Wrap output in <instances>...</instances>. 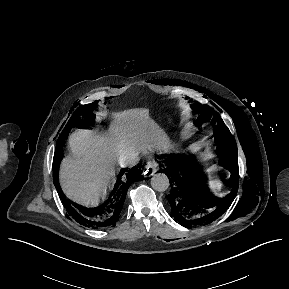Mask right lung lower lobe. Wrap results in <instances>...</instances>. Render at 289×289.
Instances as JSON below:
<instances>
[{"label": "right lung lower lobe", "instance_id": "obj_1", "mask_svg": "<svg viewBox=\"0 0 289 289\" xmlns=\"http://www.w3.org/2000/svg\"><path fill=\"white\" fill-rule=\"evenodd\" d=\"M65 133L60 135L57 144L56 152L53 161V179L59 194L68 214L79 224L100 229L105 227H113L120 218L121 210L126 198V193L129 186L135 182L142 180L141 166H135L131 169H122L116 180L114 188L108 198L96 207H84L70 201L63 194L58 182V165L63 155L62 146L66 139Z\"/></svg>", "mask_w": 289, "mask_h": 289}]
</instances>
